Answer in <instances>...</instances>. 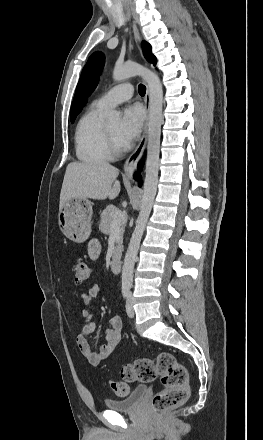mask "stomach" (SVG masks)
<instances>
[{"instance_id": "1", "label": "stomach", "mask_w": 263, "mask_h": 440, "mask_svg": "<svg viewBox=\"0 0 263 440\" xmlns=\"http://www.w3.org/2000/svg\"><path fill=\"white\" fill-rule=\"evenodd\" d=\"M92 202L72 198L59 208L58 223L62 233L74 242H84L91 233Z\"/></svg>"}]
</instances>
